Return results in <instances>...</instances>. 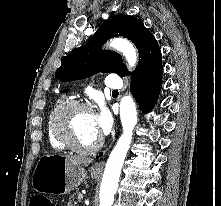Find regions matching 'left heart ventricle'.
Returning <instances> with one entry per match:
<instances>
[{"label":"left heart ventricle","instance_id":"obj_1","mask_svg":"<svg viewBox=\"0 0 221 206\" xmlns=\"http://www.w3.org/2000/svg\"><path fill=\"white\" fill-rule=\"evenodd\" d=\"M70 124L74 138L81 146H90L99 138V134L94 127L91 111L73 110L70 114Z\"/></svg>","mask_w":221,"mask_h":206}]
</instances>
